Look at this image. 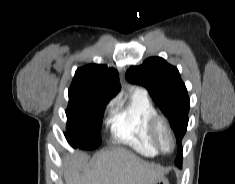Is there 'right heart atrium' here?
Here are the masks:
<instances>
[{
    "instance_id": "obj_1",
    "label": "right heart atrium",
    "mask_w": 235,
    "mask_h": 184,
    "mask_svg": "<svg viewBox=\"0 0 235 184\" xmlns=\"http://www.w3.org/2000/svg\"><path fill=\"white\" fill-rule=\"evenodd\" d=\"M115 105H116V99L109 101L106 105V110L111 113L112 110L114 109ZM109 122H110V117L105 121V124H107Z\"/></svg>"
}]
</instances>
